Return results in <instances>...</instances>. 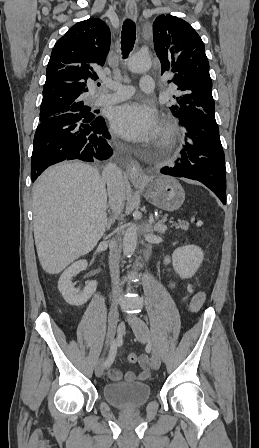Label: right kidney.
<instances>
[{"instance_id":"ca27d5eb","label":"right kidney","mask_w":259,"mask_h":448,"mask_svg":"<svg viewBox=\"0 0 259 448\" xmlns=\"http://www.w3.org/2000/svg\"><path fill=\"white\" fill-rule=\"evenodd\" d=\"M87 266L86 260H79V262H74L72 266H69L60 276L58 290L62 294L65 302L70 304V306H82V304H85L93 296L97 288V282H89L80 292L79 288H74L75 284L71 282L73 276H76L82 270H86Z\"/></svg>"}]
</instances>
